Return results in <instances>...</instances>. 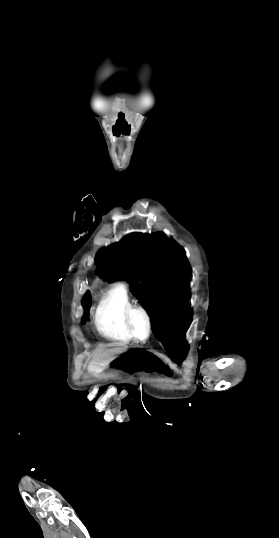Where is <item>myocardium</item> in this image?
Instances as JSON below:
<instances>
[{
    "label": "myocardium",
    "mask_w": 279,
    "mask_h": 538,
    "mask_svg": "<svg viewBox=\"0 0 279 538\" xmlns=\"http://www.w3.org/2000/svg\"><path fill=\"white\" fill-rule=\"evenodd\" d=\"M135 314H140L145 320L146 328H147V334H146V336L144 338H138L133 332L132 319H133V316ZM124 324H125L126 331L129 334L130 338L133 341L137 342V343H145V342H147L150 339L151 335H152V332H153L152 319H151V316H150L149 312L147 311V309L144 308L143 306H140V305H132V306H130L126 310V313H125V316H124Z\"/></svg>",
    "instance_id": "f54148a6"
}]
</instances>
